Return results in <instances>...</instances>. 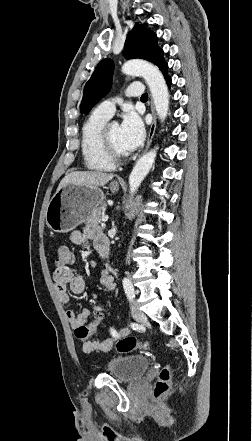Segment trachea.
<instances>
[{"label": "trachea", "instance_id": "3493384b", "mask_svg": "<svg viewBox=\"0 0 252 441\" xmlns=\"http://www.w3.org/2000/svg\"><path fill=\"white\" fill-rule=\"evenodd\" d=\"M141 99L143 100V99H148V94L147 93H144L142 96H141Z\"/></svg>", "mask_w": 252, "mask_h": 441}]
</instances>
